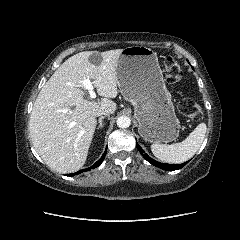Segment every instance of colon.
I'll use <instances>...</instances> for the list:
<instances>
[{"label":"colon","mask_w":240,"mask_h":240,"mask_svg":"<svg viewBox=\"0 0 240 240\" xmlns=\"http://www.w3.org/2000/svg\"><path fill=\"white\" fill-rule=\"evenodd\" d=\"M164 72L169 84L177 83L182 77V67L173 57H168L164 63ZM179 112L191 120H198L202 117L201 107L191 99L182 98L178 100Z\"/></svg>","instance_id":"1"}]
</instances>
